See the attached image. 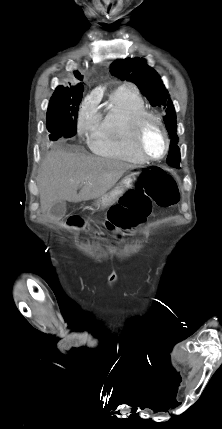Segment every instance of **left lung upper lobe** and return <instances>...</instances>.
Returning <instances> with one entry per match:
<instances>
[{"mask_svg":"<svg viewBox=\"0 0 222 429\" xmlns=\"http://www.w3.org/2000/svg\"><path fill=\"white\" fill-rule=\"evenodd\" d=\"M112 75L135 83L141 93L149 100L152 106L165 108L163 118L166 129L172 141L170 142L167 164L180 168V149L177 146L176 113L170 95L166 90L158 73L146 64L145 59L134 58L116 60L110 65Z\"/></svg>","mask_w":222,"mask_h":429,"instance_id":"obj_1","label":"left lung upper lobe"}]
</instances>
